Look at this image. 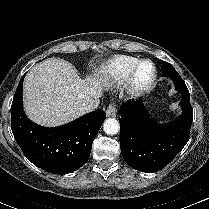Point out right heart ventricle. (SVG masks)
<instances>
[{"label": "right heart ventricle", "mask_w": 209, "mask_h": 209, "mask_svg": "<svg viewBox=\"0 0 209 209\" xmlns=\"http://www.w3.org/2000/svg\"><path fill=\"white\" fill-rule=\"evenodd\" d=\"M140 59L130 56L113 58L106 69L107 78L115 84L126 83Z\"/></svg>", "instance_id": "1"}]
</instances>
